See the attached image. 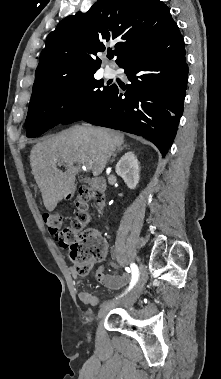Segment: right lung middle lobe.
Returning <instances> with one entry per match:
<instances>
[{
  "mask_svg": "<svg viewBox=\"0 0 221 379\" xmlns=\"http://www.w3.org/2000/svg\"><path fill=\"white\" fill-rule=\"evenodd\" d=\"M111 89L94 73L56 81L31 98L26 136L34 138L59 123L69 124L87 114ZM64 104V108L60 107Z\"/></svg>",
  "mask_w": 221,
  "mask_h": 379,
  "instance_id": "obj_1",
  "label": "right lung middle lobe"
}]
</instances>
